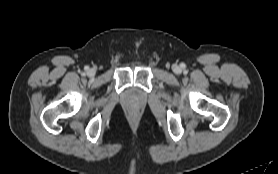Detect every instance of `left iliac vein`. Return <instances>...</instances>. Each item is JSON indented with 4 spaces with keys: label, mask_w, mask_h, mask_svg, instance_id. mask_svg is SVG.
Here are the masks:
<instances>
[{
    "label": "left iliac vein",
    "mask_w": 278,
    "mask_h": 174,
    "mask_svg": "<svg viewBox=\"0 0 278 174\" xmlns=\"http://www.w3.org/2000/svg\"><path fill=\"white\" fill-rule=\"evenodd\" d=\"M173 71L174 73L179 74L181 73V68L179 66H174Z\"/></svg>",
    "instance_id": "obj_1"
}]
</instances>
